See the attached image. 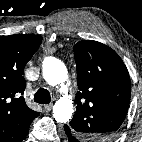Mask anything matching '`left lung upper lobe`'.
Returning a JSON list of instances; mask_svg holds the SVG:
<instances>
[{
  "label": "left lung upper lobe",
  "mask_w": 142,
  "mask_h": 142,
  "mask_svg": "<svg viewBox=\"0 0 142 142\" xmlns=\"http://www.w3.org/2000/svg\"><path fill=\"white\" fill-rule=\"evenodd\" d=\"M74 56L79 92L67 126L81 141L106 142L117 134L129 107L127 68L114 50L97 41L78 42Z\"/></svg>",
  "instance_id": "1"
}]
</instances>
